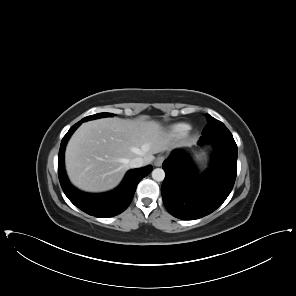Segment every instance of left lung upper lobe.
I'll return each instance as SVG.
<instances>
[{"instance_id": "obj_1", "label": "left lung upper lobe", "mask_w": 296, "mask_h": 296, "mask_svg": "<svg viewBox=\"0 0 296 296\" xmlns=\"http://www.w3.org/2000/svg\"><path fill=\"white\" fill-rule=\"evenodd\" d=\"M208 124L202 132V137L206 142L210 143H221L230 142L234 143V139L227 127L217 119L206 114Z\"/></svg>"}]
</instances>
